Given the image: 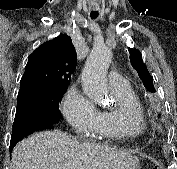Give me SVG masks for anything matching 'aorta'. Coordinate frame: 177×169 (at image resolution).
<instances>
[{
	"instance_id": "obj_1",
	"label": "aorta",
	"mask_w": 177,
	"mask_h": 169,
	"mask_svg": "<svg viewBox=\"0 0 177 169\" xmlns=\"http://www.w3.org/2000/svg\"><path fill=\"white\" fill-rule=\"evenodd\" d=\"M112 53L105 45L94 46L82 71V88L86 96L98 104L107 98L106 74Z\"/></svg>"
}]
</instances>
